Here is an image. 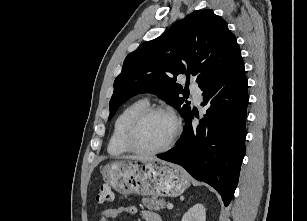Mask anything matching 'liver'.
<instances>
[{
	"label": "liver",
	"mask_w": 307,
	"mask_h": 221,
	"mask_svg": "<svg viewBox=\"0 0 307 221\" xmlns=\"http://www.w3.org/2000/svg\"><path fill=\"white\" fill-rule=\"evenodd\" d=\"M123 159L128 160H139V161H148V160H155V158L152 157H144V156H123L121 157ZM157 160V159H156Z\"/></svg>",
	"instance_id": "1"
}]
</instances>
